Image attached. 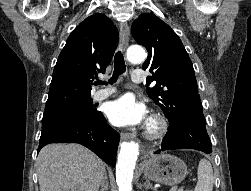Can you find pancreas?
I'll use <instances>...</instances> for the list:
<instances>
[{"label": "pancreas", "instance_id": "cf45deb5", "mask_svg": "<svg viewBox=\"0 0 251 191\" xmlns=\"http://www.w3.org/2000/svg\"><path fill=\"white\" fill-rule=\"evenodd\" d=\"M177 191H189V189H183V187H179V189H177Z\"/></svg>", "mask_w": 251, "mask_h": 191}]
</instances>
